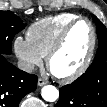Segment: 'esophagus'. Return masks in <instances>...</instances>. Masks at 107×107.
Masks as SVG:
<instances>
[{"instance_id": "34e87169", "label": "esophagus", "mask_w": 107, "mask_h": 107, "mask_svg": "<svg viewBox=\"0 0 107 107\" xmlns=\"http://www.w3.org/2000/svg\"><path fill=\"white\" fill-rule=\"evenodd\" d=\"M47 83L48 81L43 78L38 79V86H43V85H46Z\"/></svg>"}]
</instances>
